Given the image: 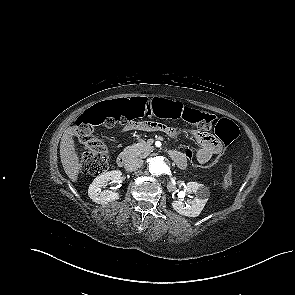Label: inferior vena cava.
Instances as JSON below:
<instances>
[{"mask_svg": "<svg viewBox=\"0 0 295 295\" xmlns=\"http://www.w3.org/2000/svg\"><path fill=\"white\" fill-rule=\"evenodd\" d=\"M143 164V160L139 159V158H130L129 160H127V162L125 163V170L132 172L137 170L138 168H140Z\"/></svg>", "mask_w": 295, "mask_h": 295, "instance_id": "inferior-vena-cava-1", "label": "inferior vena cava"}]
</instances>
